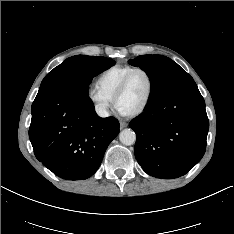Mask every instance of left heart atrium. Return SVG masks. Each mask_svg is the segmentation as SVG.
<instances>
[{
  "label": "left heart atrium",
  "mask_w": 234,
  "mask_h": 234,
  "mask_svg": "<svg viewBox=\"0 0 234 234\" xmlns=\"http://www.w3.org/2000/svg\"><path fill=\"white\" fill-rule=\"evenodd\" d=\"M118 111L122 114L123 112L118 109Z\"/></svg>",
  "instance_id": "obj_1"
}]
</instances>
